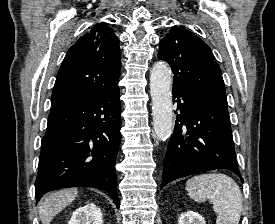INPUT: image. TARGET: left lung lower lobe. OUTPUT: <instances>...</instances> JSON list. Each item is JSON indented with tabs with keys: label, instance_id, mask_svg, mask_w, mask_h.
<instances>
[{
	"label": "left lung lower lobe",
	"instance_id": "0a47b994",
	"mask_svg": "<svg viewBox=\"0 0 275 224\" xmlns=\"http://www.w3.org/2000/svg\"><path fill=\"white\" fill-rule=\"evenodd\" d=\"M173 103L180 113L168 142L160 188L175 179L214 169L230 170L243 182L227 106L178 88H173Z\"/></svg>",
	"mask_w": 275,
	"mask_h": 224
}]
</instances>
